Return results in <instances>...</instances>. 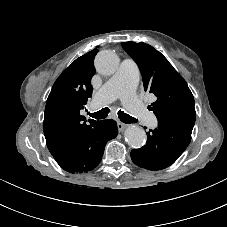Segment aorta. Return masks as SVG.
Masks as SVG:
<instances>
[{
  "instance_id": "1",
  "label": "aorta",
  "mask_w": 227,
  "mask_h": 227,
  "mask_svg": "<svg viewBox=\"0 0 227 227\" xmlns=\"http://www.w3.org/2000/svg\"><path fill=\"white\" fill-rule=\"evenodd\" d=\"M118 66L119 58L113 51H100L95 58V67L100 74L111 75L117 71ZM124 136L132 148H141L146 142L145 131L139 126H129L125 130Z\"/></svg>"
}]
</instances>
